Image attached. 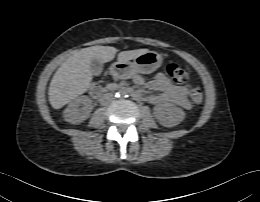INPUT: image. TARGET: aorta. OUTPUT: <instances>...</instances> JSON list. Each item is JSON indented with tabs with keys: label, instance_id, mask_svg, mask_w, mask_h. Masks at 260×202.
I'll list each match as a JSON object with an SVG mask.
<instances>
[{
	"label": "aorta",
	"instance_id": "762f6f07",
	"mask_svg": "<svg viewBox=\"0 0 260 202\" xmlns=\"http://www.w3.org/2000/svg\"><path fill=\"white\" fill-rule=\"evenodd\" d=\"M117 95H118V97H121V96H122V97H126V96H127V92L124 91V90H121V91L118 92Z\"/></svg>",
	"mask_w": 260,
	"mask_h": 202
}]
</instances>
